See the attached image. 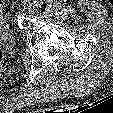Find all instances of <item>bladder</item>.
<instances>
[{"label": "bladder", "instance_id": "31cf9c89", "mask_svg": "<svg viewBox=\"0 0 113 113\" xmlns=\"http://www.w3.org/2000/svg\"><path fill=\"white\" fill-rule=\"evenodd\" d=\"M13 35L10 26L8 25L3 8L0 6V44L11 43Z\"/></svg>", "mask_w": 113, "mask_h": 113}]
</instances>
